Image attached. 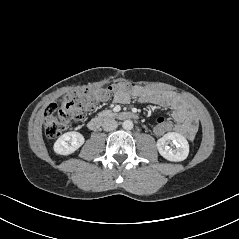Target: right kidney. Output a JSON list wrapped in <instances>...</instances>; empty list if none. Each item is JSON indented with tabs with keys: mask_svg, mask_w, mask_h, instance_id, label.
<instances>
[{
	"mask_svg": "<svg viewBox=\"0 0 239 239\" xmlns=\"http://www.w3.org/2000/svg\"><path fill=\"white\" fill-rule=\"evenodd\" d=\"M85 142L84 136L76 131L61 135L54 143V151L60 155H69L79 149Z\"/></svg>",
	"mask_w": 239,
	"mask_h": 239,
	"instance_id": "right-kidney-1",
	"label": "right kidney"
}]
</instances>
